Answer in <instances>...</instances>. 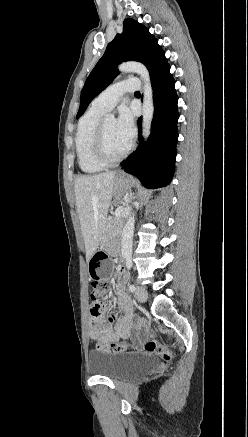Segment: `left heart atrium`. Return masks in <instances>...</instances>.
I'll use <instances>...</instances> for the list:
<instances>
[{"label": "left heart atrium", "mask_w": 248, "mask_h": 437, "mask_svg": "<svg viewBox=\"0 0 248 437\" xmlns=\"http://www.w3.org/2000/svg\"><path fill=\"white\" fill-rule=\"evenodd\" d=\"M118 134L127 142H131L135 135L134 117L130 109L122 107L116 120Z\"/></svg>", "instance_id": "obj_1"}]
</instances>
